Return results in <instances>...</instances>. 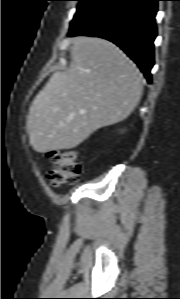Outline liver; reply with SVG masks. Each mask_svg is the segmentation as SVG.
Wrapping results in <instances>:
<instances>
[{"label": "liver", "mask_w": 180, "mask_h": 299, "mask_svg": "<svg viewBox=\"0 0 180 299\" xmlns=\"http://www.w3.org/2000/svg\"><path fill=\"white\" fill-rule=\"evenodd\" d=\"M143 92L136 65L113 43L72 40L71 64L56 71L29 109L27 130L36 152L73 149L99 128L126 119Z\"/></svg>", "instance_id": "liver-1"}]
</instances>
